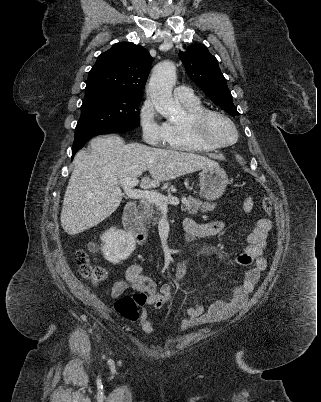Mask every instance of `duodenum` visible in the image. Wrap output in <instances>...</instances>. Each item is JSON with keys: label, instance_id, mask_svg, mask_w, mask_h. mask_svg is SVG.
I'll use <instances>...</instances> for the list:
<instances>
[{"label": "duodenum", "instance_id": "obj_1", "mask_svg": "<svg viewBox=\"0 0 321 402\" xmlns=\"http://www.w3.org/2000/svg\"><path fill=\"white\" fill-rule=\"evenodd\" d=\"M122 221L125 229L135 238L137 243L145 245L148 242V231L137 218L136 203L130 202L126 205L123 211Z\"/></svg>", "mask_w": 321, "mask_h": 402}]
</instances>
